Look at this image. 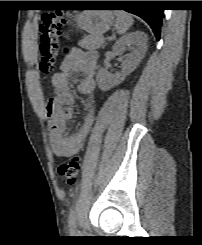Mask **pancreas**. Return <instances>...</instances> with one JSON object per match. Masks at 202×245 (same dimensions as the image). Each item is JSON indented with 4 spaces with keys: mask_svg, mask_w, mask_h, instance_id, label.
<instances>
[{
    "mask_svg": "<svg viewBox=\"0 0 202 245\" xmlns=\"http://www.w3.org/2000/svg\"><path fill=\"white\" fill-rule=\"evenodd\" d=\"M105 40L102 36L89 35L82 39L78 44L80 47L87 50H95L100 48L104 44Z\"/></svg>",
    "mask_w": 202,
    "mask_h": 245,
    "instance_id": "1",
    "label": "pancreas"
}]
</instances>
